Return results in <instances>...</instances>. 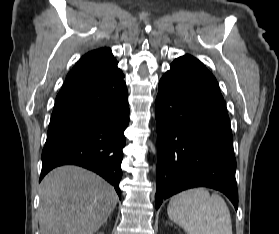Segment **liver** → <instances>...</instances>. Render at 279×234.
Returning <instances> with one entry per match:
<instances>
[{
  "mask_svg": "<svg viewBox=\"0 0 279 234\" xmlns=\"http://www.w3.org/2000/svg\"><path fill=\"white\" fill-rule=\"evenodd\" d=\"M114 188L98 175L76 166H62L41 183L40 234H93L117 203Z\"/></svg>",
  "mask_w": 279,
  "mask_h": 234,
  "instance_id": "6515ba94",
  "label": "liver"
}]
</instances>
